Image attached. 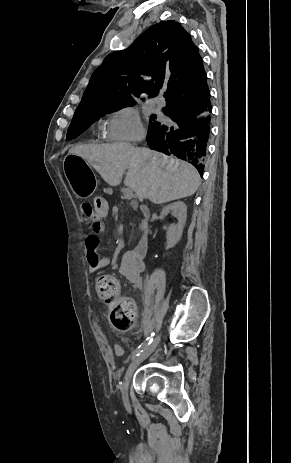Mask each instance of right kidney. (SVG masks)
<instances>
[{"instance_id": "right-kidney-1", "label": "right kidney", "mask_w": 291, "mask_h": 463, "mask_svg": "<svg viewBox=\"0 0 291 463\" xmlns=\"http://www.w3.org/2000/svg\"><path fill=\"white\" fill-rule=\"evenodd\" d=\"M170 213L178 217L177 224H172L166 232L167 245L172 248L181 239L187 219V206L181 201L171 203L162 209L161 217H165Z\"/></svg>"}]
</instances>
